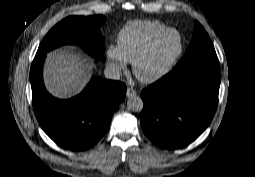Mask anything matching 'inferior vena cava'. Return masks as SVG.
<instances>
[{
    "mask_svg": "<svg viewBox=\"0 0 255 177\" xmlns=\"http://www.w3.org/2000/svg\"><path fill=\"white\" fill-rule=\"evenodd\" d=\"M105 78L111 80H119L121 77V71L115 66H107L104 70Z\"/></svg>",
    "mask_w": 255,
    "mask_h": 177,
    "instance_id": "inferior-vena-cava-1",
    "label": "inferior vena cava"
}]
</instances>
